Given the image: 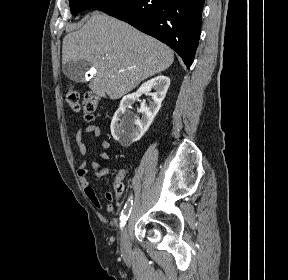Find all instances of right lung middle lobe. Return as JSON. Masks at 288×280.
Masks as SVG:
<instances>
[{"label":"right lung middle lobe","mask_w":288,"mask_h":280,"mask_svg":"<svg viewBox=\"0 0 288 280\" xmlns=\"http://www.w3.org/2000/svg\"><path fill=\"white\" fill-rule=\"evenodd\" d=\"M116 0H69V5L71 12L74 16L78 12L84 11L86 9L96 8L99 6H104L106 4L112 3Z\"/></svg>","instance_id":"dd1d6c3e"}]
</instances>
